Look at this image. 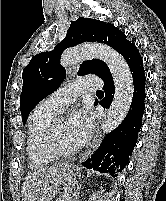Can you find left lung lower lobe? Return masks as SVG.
I'll list each match as a JSON object with an SVG mask.
<instances>
[{"label":"left lung lower lobe","instance_id":"left-lung-lower-lobe-1","mask_svg":"<svg viewBox=\"0 0 166 201\" xmlns=\"http://www.w3.org/2000/svg\"><path fill=\"white\" fill-rule=\"evenodd\" d=\"M129 65L134 82V93L128 114L122 123L109 133L95 153L83 163L89 169L101 173H110L113 177L121 172L129 158L128 156L136 146L138 132L142 125V116L145 109V70L143 60L135 44H130L122 55ZM104 80L105 98L99 104L104 108L110 106L114 96L112 75L109 74ZM98 102L95 103L97 105Z\"/></svg>","mask_w":166,"mask_h":201}]
</instances>
